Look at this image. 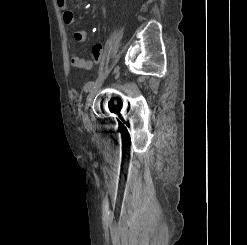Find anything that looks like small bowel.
<instances>
[{"label": "small bowel", "mask_w": 247, "mask_h": 245, "mask_svg": "<svg viewBox=\"0 0 247 245\" xmlns=\"http://www.w3.org/2000/svg\"><path fill=\"white\" fill-rule=\"evenodd\" d=\"M57 5L62 10V17L66 24H72L75 21L73 12L67 7V0H56ZM73 37L78 42H83L87 39L88 33L82 30L75 31ZM102 55V47L97 44L93 47V59H83L77 54H72L70 61L71 64L77 68L81 69H91L94 63L100 61Z\"/></svg>", "instance_id": "c3829d8e"}]
</instances>
